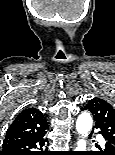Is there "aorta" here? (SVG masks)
I'll use <instances>...</instances> for the list:
<instances>
[{"instance_id": "aorta-1", "label": "aorta", "mask_w": 115, "mask_h": 155, "mask_svg": "<svg viewBox=\"0 0 115 155\" xmlns=\"http://www.w3.org/2000/svg\"><path fill=\"white\" fill-rule=\"evenodd\" d=\"M92 124H93L92 117L90 116L89 113L84 112L78 116L76 121V129L82 138L79 139L77 142L76 151H86L85 138L90 132Z\"/></svg>"}]
</instances>
